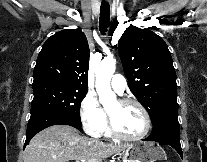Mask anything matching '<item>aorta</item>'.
<instances>
[{
  "instance_id": "aorta-1",
  "label": "aorta",
  "mask_w": 207,
  "mask_h": 162,
  "mask_svg": "<svg viewBox=\"0 0 207 162\" xmlns=\"http://www.w3.org/2000/svg\"><path fill=\"white\" fill-rule=\"evenodd\" d=\"M116 68V60L113 56L105 57L97 70L96 90L100 103L106 107L116 101V96L111 90L110 82Z\"/></svg>"
}]
</instances>
